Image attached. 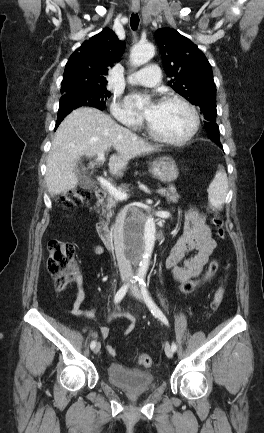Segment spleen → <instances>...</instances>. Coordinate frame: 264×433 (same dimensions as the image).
Instances as JSON below:
<instances>
[{
  "instance_id": "3e777b00",
  "label": "spleen",
  "mask_w": 264,
  "mask_h": 433,
  "mask_svg": "<svg viewBox=\"0 0 264 433\" xmlns=\"http://www.w3.org/2000/svg\"><path fill=\"white\" fill-rule=\"evenodd\" d=\"M228 192V178L225 170L221 167L216 173L208 188V199L210 204L221 210Z\"/></svg>"
}]
</instances>
